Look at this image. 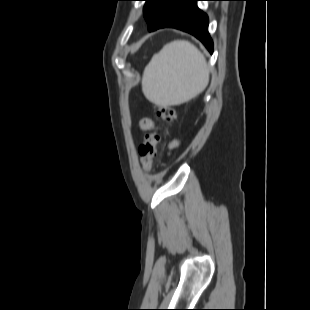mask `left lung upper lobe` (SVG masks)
<instances>
[{"label":"left lung upper lobe","instance_id":"obj_1","mask_svg":"<svg viewBox=\"0 0 310 310\" xmlns=\"http://www.w3.org/2000/svg\"><path fill=\"white\" fill-rule=\"evenodd\" d=\"M144 17L149 31L170 24L190 0H145Z\"/></svg>","mask_w":310,"mask_h":310}]
</instances>
